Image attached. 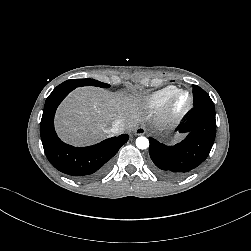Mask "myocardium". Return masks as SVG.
I'll return each mask as SVG.
<instances>
[{"instance_id":"1","label":"myocardium","mask_w":251,"mask_h":251,"mask_svg":"<svg viewBox=\"0 0 251 251\" xmlns=\"http://www.w3.org/2000/svg\"><path fill=\"white\" fill-rule=\"evenodd\" d=\"M183 99L182 102L180 100ZM192 106L191 94L182 89L173 92L160 110V120L169 126L179 123Z\"/></svg>"}]
</instances>
